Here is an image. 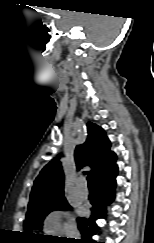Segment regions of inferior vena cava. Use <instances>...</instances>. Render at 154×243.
I'll use <instances>...</instances> for the list:
<instances>
[{"instance_id": "1", "label": "inferior vena cava", "mask_w": 154, "mask_h": 243, "mask_svg": "<svg viewBox=\"0 0 154 243\" xmlns=\"http://www.w3.org/2000/svg\"><path fill=\"white\" fill-rule=\"evenodd\" d=\"M67 238L80 239V233L75 226H71L67 230Z\"/></svg>"}]
</instances>
